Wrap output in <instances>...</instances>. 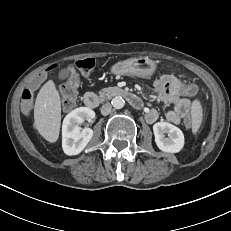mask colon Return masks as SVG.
Instances as JSON below:
<instances>
[{"label": "colon", "instance_id": "1", "mask_svg": "<svg viewBox=\"0 0 231 231\" xmlns=\"http://www.w3.org/2000/svg\"><path fill=\"white\" fill-rule=\"evenodd\" d=\"M74 67L82 75H88L95 67L94 58H83L74 62ZM50 75L49 70L44 69L38 76V78L32 83L28 84L27 90L22 94V104L29 106L32 102L33 92L37 88L43 86ZM78 87L79 84L76 80L69 81L63 84L60 88V94L62 99V105L65 109H71L75 106L78 98ZM177 91L180 94H185L188 98H194L197 95L196 86L194 84L180 83L177 86ZM185 124L191 125V120L186 119Z\"/></svg>", "mask_w": 231, "mask_h": 231}]
</instances>
